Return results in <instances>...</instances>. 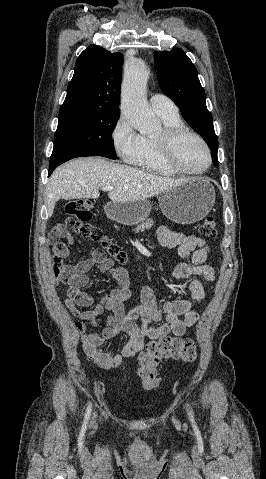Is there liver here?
Returning <instances> with one entry per match:
<instances>
[{
    "label": "liver",
    "instance_id": "liver-1",
    "mask_svg": "<svg viewBox=\"0 0 266 479\" xmlns=\"http://www.w3.org/2000/svg\"><path fill=\"white\" fill-rule=\"evenodd\" d=\"M189 179L161 177L100 157L71 160L58 167L46 188L48 216L59 199H96L99 189L112 186L108 197L115 202L146 200Z\"/></svg>",
    "mask_w": 266,
    "mask_h": 479
}]
</instances>
